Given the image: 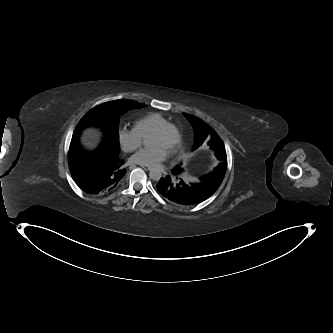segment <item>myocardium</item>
Instances as JSON below:
<instances>
[{
	"label": "myocardium",
	"instance_id": "1",
	"mask_svg": "<svg viewBox=\"0 0 333 333\" xmlns=\"http://www.w3.org/2000/svg\"><path fill=\"white\" fill-rule=\"evenodd\" d=\"M152 134H161V135H171L172 136V140L171 143L168 147V153L173 152L179 145L180 143V132L179 129L173 125V124H166L163 125L161 127H159L158 129L154 130L152 132Z\"/></svg>",
	"mask_w": 333,
	"mask_h": 333
}]
</instances>
